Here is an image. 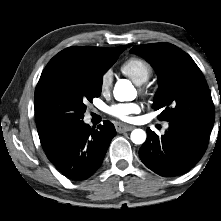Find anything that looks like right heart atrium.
<instances>
[{"instance_id":"1","label":"right heart atrium","mask_w":221,"mask_h":221,"mask_svg":"<svg viewBox=\"0 0 221 221\" xmlns=\"http://www.w3.org/2000/svg\"><path fill=\"white\" fill-rule=\"evenodd\" d=\"M112 85V73L111 71H105L100 79V87L103 91L109 90Z\"/></svg>"}]
</instances>
